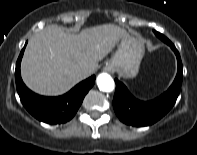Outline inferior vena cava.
Returning <instances> with one entry per match:
<instances>
[{
    "instance_id": "obj_1",
    "label": "inferior vena cava",
    "mask_w": 197,
    "mask_h": 155,
    "mask_svg": "<svg viewBox=\"0 0 197 155\" xmlns=\"http://www.w3.org/2000/svg\"><path fill=\"white\" fill-rule=\"evenodd\" d=\"M82 71H83L84 73H87V72H88V70H87L86 68H84Z\"/></svg>"
}]
</instances>
